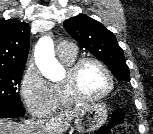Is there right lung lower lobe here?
I'll use <instances>...</instances> for the list:
<instances>
[{
  "instance_id": "1",
  "label": "right lung lower lobe",
  "mask_w": 153,
  "mask_h": 134,
  "mask_svg": "<svg viewBox=\"0 0 153 134\" xmlns=\"http://www.w3.org/2000/svg\"><path fill=\"white\" fill-rule=\"evenodd\" d=\"M24 114L25 110L22 106L0 105V117L2 118L20 117Z\"/></svg>"
}]
</instances>
